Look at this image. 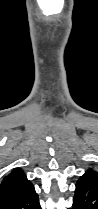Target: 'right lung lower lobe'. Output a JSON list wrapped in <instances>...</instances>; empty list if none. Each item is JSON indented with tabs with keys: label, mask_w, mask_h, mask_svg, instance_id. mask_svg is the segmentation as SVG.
Wrapping results in <instances>:
<instances>
[{
	"label": "right lung lower lobe",
	"mask_w": 98,
	"mask_h": 209,
	"mask_svg": "<svg viewBox=\"0 0 98 209\" xmlns=\"http://www.w3.org/2000/svg\"><path fill=\"white\" fill-rule=\"evenodd\" d=\"M3 209H41V206L38 195L32 186Z\"/></svg>",
	"instance_id": "98d812e1"
}]
</instances>
